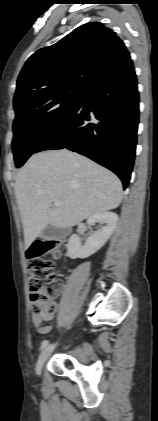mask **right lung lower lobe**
<instances>
[{"mask_svg": "<svg viewBox=\"0 0 158 421\" xmlns=\"http://www.w3.org/2000/svg\"><path fill=\"white\" fill-rule=\"evenodd\" d=\"M139 95L129 52L99 70L79 101L34 153L67 148L116 173L124 189L132 172Z\"/></svg>", "mask_w": 158, "mask_h": 421, "instance_id": "1", "label": "right lung lower lobe"}]
</instances>
